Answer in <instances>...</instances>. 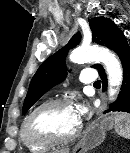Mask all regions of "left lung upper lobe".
Returning <instances> with one entry per match:
<instances>
[{"label":"left lung upper lobe","instance_id":"1","mask_svg":"<svg viewBox=\"0 0 130 153\" xmlns=\"http://www.w3.org/2000/svg\"><path fill=\"white\" fill-rule=\"evenodd\" d=\"M89 26L92 31V41L103 46H106L109 39L120 32V29L117 28V25L112 20L104 17L91 18L89 20ZM80 40L81 34L78 32L70 39L67 46L61 48L40 65L31 80L23 104V114L26 113L45 92L65 79L67 75L65 57L68 49L77 46ZM92 67L98 70L101 65L94 64Z\"/></svg>","mask_w":130,"mask_h":153}]
</instances>
